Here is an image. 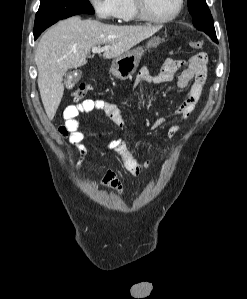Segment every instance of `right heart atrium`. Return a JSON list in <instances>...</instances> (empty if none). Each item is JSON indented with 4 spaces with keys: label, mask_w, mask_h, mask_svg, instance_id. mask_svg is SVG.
Masks as SVG:
<instances>
[{
    "label": "right heart atrium",
    "mask_w": 247,
    "mask_h": 299,
    "mask_svg": "<svg viewBox=\"0 0 247 299\" xmlns=\"http://www.w3.org/2000/svg\"><path fill=\"white\" fill-rule=\"evenodd\" d=\"M117 0H88L95 15L102 20H111L116 18Z\"/></svg>",
    "instance_id": "obj_1"
}]
</instances>
